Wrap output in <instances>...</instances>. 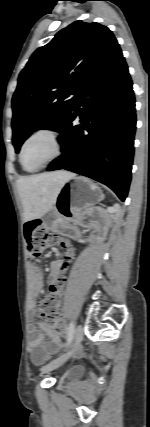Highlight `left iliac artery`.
Wrapping results in <instances>:
<instances>
[{"label": "left iliac artery", "instance_id": "1", "mask_svg": "<svg viewBox=\"0 0 150 427\" xmlns=\"http://www.w3.org/2000/svg\"><path fill=\"white\" fill-rule=\"evenodd\" d=\"M74 332H75L74 322H70L69 327H68V336H67L66 346L69 345L71 343V341L73 340Z\"/></svg>", "mask_w": 150, "mask_h": 427}]
</instances>
